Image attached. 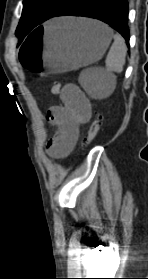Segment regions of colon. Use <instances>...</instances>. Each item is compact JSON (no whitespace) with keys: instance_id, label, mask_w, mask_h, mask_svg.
Instances as JSON below:
<instances>
[{"instance_id":"1","label":"colon","mask_w":148,"mask_h":279,"mask_svg":"<svg viewBox=\"0 0 148 279\" xmlns=\"http://www.w3.org/2000/svg\"><path fill=\"white\" fill-rule=\"evenodd\" d=\"M63 85L61 83H54L51 88V92L54 95H58L62 92ZM101 122L102 118L99 113H96L94 117L91 119L88 125V132L86 135V138L84 140V145H89L98 135L100 129H101Z\"/></svg>"}]
</instances>
